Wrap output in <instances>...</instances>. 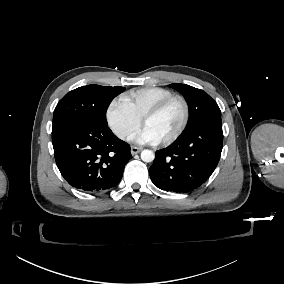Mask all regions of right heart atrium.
<instances>
[{
	"label": "right heart atrium",
	"instance_id": "d8ad5b80",
	"mask_svg": "<svg viewBox=\"0 0 284 284\" xmlns=\"http://www.w3.org/2000/svg\"><path fill=\"white\" fill-rule=\"evenodd\" d=\"M108 129L120 141H127L139 127L141 119L123 106L119 99L112 100L105 111Z\"/></svg>",
	"mask_w": 284,
	"mask_h": 284
}]
</instances>
